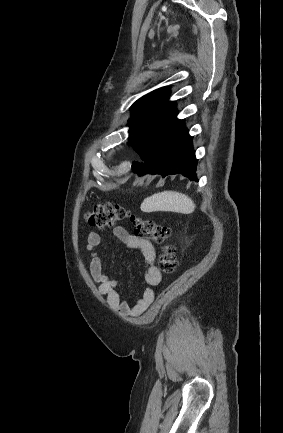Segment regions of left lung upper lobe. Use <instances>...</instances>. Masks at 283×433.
<instances>
[{"label": "left lung upper lobe", "mask_w": 283, "mask_h": 433, "mask_svg": "<svg viewBox=\"0 0 283 433\" xmlns=\"http://www.w3.org/2000/svg\"><path fill=\"white\" fill-rule=\"evenodd\" d=\"M168 94L169 90L166 87L160 88L141 97L132 105V116L128 121V144L133 146L138 154L153 130L170 127L177 131L184 125L182 120L176 118L175 104L167 101Z\"/></svg>", "instance_id": "1"}]
</instances>
